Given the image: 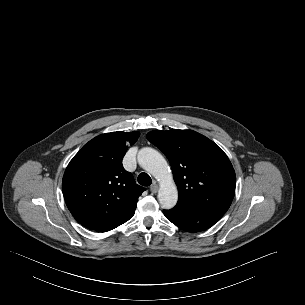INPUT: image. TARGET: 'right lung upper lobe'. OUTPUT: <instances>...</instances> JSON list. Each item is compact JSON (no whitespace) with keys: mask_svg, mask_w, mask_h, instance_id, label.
<instances>
[{"mask_svg":"<svg viewBox=\"0 0 305 305\" xmlns=\"http://www.w3.org/2000/svg\"><path fill=\"white\" fill-rule=\"evenodd\" d=\"M139 136L138 132L122 131L99 135L68 164L62 180L64 199L84 227L106 232L134 215L145 188L123 168L122 159Z\"/></svg>","mask_w":305,"mask_h":305,"instance_id":"obj_1","label":"right lung upper lobe"}]
</instances>
